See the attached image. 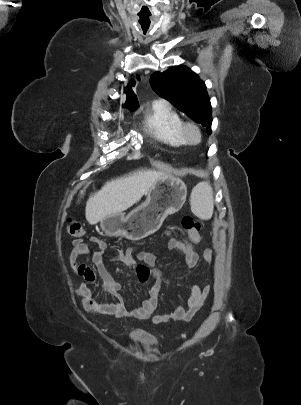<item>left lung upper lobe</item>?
I'll use <instances>...</instances> for the list:
<instances>
[{
  "mask_svg": "<svg viewBox=\"0 0 301 405\" xmlns=\"http://www.w3.org/2000/svg\"><path fill=\"white\" fill-rule=\"evenodd\" d=\"M153 90L169 100L192 120L207 127L211 134V104L206 86L196 73L185 66H173L165 72H156L150 79Z\"/></svg>",
  "mask_w": 301,
  "mask_h": 405,
  "instance_id": "obj_1",
  "label": "left lung upper lobe"
}]
</instances>
